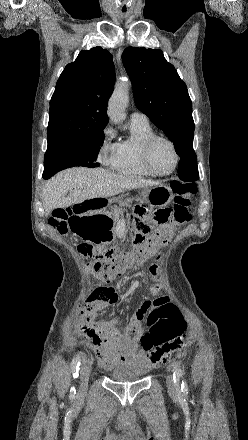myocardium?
<instances>
[{
	"label": "myocardium",
	"instance_id": "obj_1",
	"mask_svg": "<svg viewBox=\"0 0 248 440\" xmlns=\"http://www.w3.org/2000/svg\"><path fill=\"white\" fill-rule=\"evenodd\" d=\"M158 142L167 143L171 147L173 154H174V157H175L173 167L171 168V170H169L167 172H159V171L155 170L151 164V152H152L153 147ZM179 162H180V155H179L178 149H177L176 145L174 144V142L172 140H170L169 138H166L164 136L154 135V136L148 138L142 145L141 163H142L144 169L149 174H151L153 176L164 177V176H169V175L173 174L175 172V170L177 169Z\"/></svg>",
	"mask_w": 248,
	"mask_h": 440
}]
</instances>
